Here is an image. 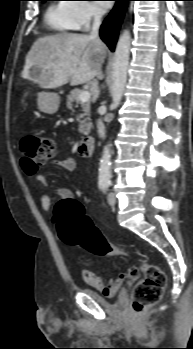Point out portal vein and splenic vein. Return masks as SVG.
I'll return each instance as SVG.
<instances>
[{
    "instance_id": "1",
    "label": "portal vein and splenic vein",
    "mask_w": 193,
    "mask_h": 349,
    "mask_svg": "<svg viewBox=\"0 0 193 349\" xmlns=\"http://www.w3.org/2000/svg\"><path fill=\"white\" fill-rule=\"evenodd\" d=\"M90 96H91V94L89 91H82L79 95V99L82 102H87L90 99Z\"/></svg>"
}]
</instances>
